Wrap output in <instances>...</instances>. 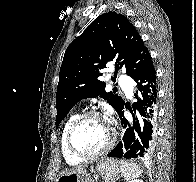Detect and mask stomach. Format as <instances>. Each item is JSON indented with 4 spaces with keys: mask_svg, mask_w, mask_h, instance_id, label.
Wrapping results in <instances>:
<instances>
[{
    "mask_svg": "<svg viewBox=\"0 0 196 182\" xmlns=\"http://www.w3.org/2000/svg\"><path fill=\"white\" fill-rule=\"evenodd\" d=\"M95 170L107 182H113L120 176V167L113 159H101L96 163ZM56 182H92L90 174L85 170L74 173H64L56 179Z\"/></svg>",
    "mask_w": 196,
    "mask_h": 182,
    "instance_id": "stomach-1",
    "label": "stomach"
}]
</instances>
